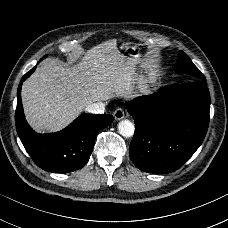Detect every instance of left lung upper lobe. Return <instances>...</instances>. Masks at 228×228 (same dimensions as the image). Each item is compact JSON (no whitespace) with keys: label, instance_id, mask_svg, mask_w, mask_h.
I'll return each mask as SVG.
<instances>
[{"label":"left lung upper lobe","instance_id":"left-lung-upper-lobe-1","mask_svg":"<svg viewBox=\"0 0 228 228\" xmlns=\"http://www.w3.org/2000/svg\"><path fill=\"white\" fill-rule=\"evenodd\" d=\"M176 73H184L191 75L194 80H205L204 75L198 70V68L192 63L188 55L183 51H180V55L175 65Z\"/></svg>","mask_w":228,"mask_h":228}]
</instances>
